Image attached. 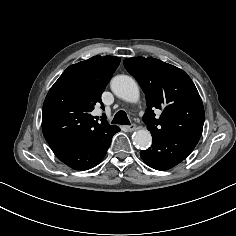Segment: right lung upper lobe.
I'll return each mask as SVG.
<instances>
[{"label": "right lung upper lobe", "instance_id": "obj_1", "mask_svg": "<svg viewBox=\"0 0 236 236\" xmlns=\"http://www.w3.org/2000/svg\"><path fill=\"white\" fill-rule=\"evenodd\" d=\"M120 63L119 57L94 56L69 66L49 90L42 130L47 142L93 138L113 125L98 123L90 114Z\"/></svg>", "mask_w": 236, "mask_h": 236}]
</instances>
